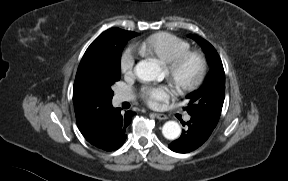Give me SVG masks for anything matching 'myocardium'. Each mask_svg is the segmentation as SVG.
Masks as SVG:
<instances>
[{
    "mask_svg": "<svg viewBox=\"0 0 288 181\" xmlns=\"http://www.w3.org/2000/svg\"><path fill=\"white\" fill-rule=\"evenodd\" d=\"M190 59H194L197 62V72L191 80L187 82H180L177 80V73L179 69L184 65V63ZM165 68L167 71V76L176 85L178 90L181 92H188L192 91L198 85H200L205 78L207 72V59L205 55L200 51L188 50L165 63Z\"/></svg>",
    "mask_w": 288,
    "mask_h": 181,
    "instance_id": "1",
    "label": "myocardium"
}]
</instances>
